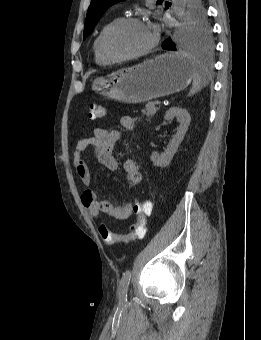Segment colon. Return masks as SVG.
<instances>
[{
  "instance_id": "5ec220e1",
  "label": "colon",
  "mask_w": 261,
  "mask_h": 340,
  "mask_svg": "<svg viewBox=\"0 0 261 340\" xmlns=\"http://www.w3.org/2000/svg\"><path fill=\"white\" fill-rule=\"evenodd\" d=\"M106 113L107 111L103 106L92 104L89 107V117L92 119L105 117ZM133 212L136 215V220L126 233H114L103 224L98 227L99 234L106 244L127 243L145 237L146 220L151 212V202L145 199L137 201L133 206Z\"/></svg>"
}]
</instances>
